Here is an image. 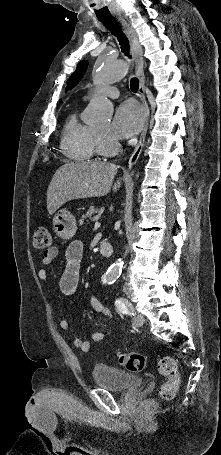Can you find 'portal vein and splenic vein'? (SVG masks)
<instances>
[{"label": "portal vein and splenic vein", "mask_w": 221, "mask_h": 455, "mask_svg": "<svg viewBox=\"0 0 221 455\" xmlns=\"http://www.w3.org/2000/svg\"><path fill=\"white\" fill-rule=\"evenodd\" d=\"M94 226H95V228H99L100 227V222L96 221Z\"/></svg>", "instance_id": "portal-vein-and-splenic-vein-1"}]
</instances>
